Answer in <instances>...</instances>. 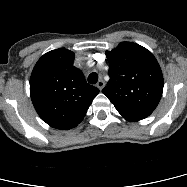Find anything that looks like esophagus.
Segmentation results:
<instances>
[{"instance_id":"obj_1","label":"esophagus","mask_w":187,"mask_h":187,"mask_svg":"<svg viewBox=\"0 0 187 187\" xmlns=\"http://www.w3.org/2000/svg\"><path fill=\"white\" fill-rule=\"evenodd\" d=\"M96 86L99 88V90H102L105 86L104 81L101 79L97 82Z\"/></svg>"}]
</instances>
